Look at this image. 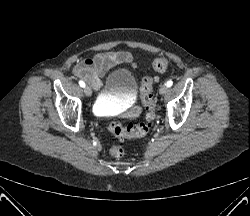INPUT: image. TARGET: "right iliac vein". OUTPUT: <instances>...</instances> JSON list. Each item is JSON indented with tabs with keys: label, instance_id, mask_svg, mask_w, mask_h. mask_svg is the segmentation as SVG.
Returning a JSON list of instances; mask_svg holds the SVG:
<instances>
[{
	"label": "right iliac vein",
	"instance_id": "obj_1",
	"mask_svg": "<svg viewBox=\"0 0 250 216\" xmlns=\"http://www.w3.org/2000/svg\"><path fill=\"white\" fill-rule=\"evenodd\" d=\"M84 93L86 94V96L90 97L92 95V90L89 86H85L84 87Z\"/></svg>",
	"mask_w": 250,
	"mask_h": 216
}]
</instances>
